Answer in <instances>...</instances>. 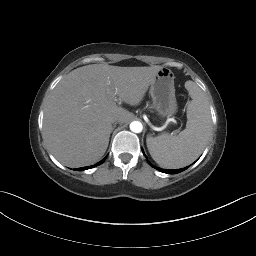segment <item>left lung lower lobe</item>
I'll list each match as a JSON object with an SVG mask.
<instances>
[{
    "label": "left lung lower lobe",
    "instance_id": "1",
    "mask_svg": "<svg viewBox=\"0 0 256 256\" xmlns=\"http://www.w3.org/2000/svg\"><path fill=\"white\" fill-rule=\"evenodd\" d=\"M150 164V163H149ZM151 165V164H150ZM152 167L156 168L157 170L161 171V172H164V173H168V174H176V173H179V172H182L184 171L186 168H182V169H176V170H170V169H161V168H158L156 166H153L151 165Z\"/></svg>",
    "mask_w": 256,
    "mask_h": 256
}]
</instances>
